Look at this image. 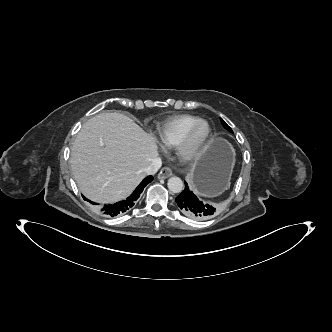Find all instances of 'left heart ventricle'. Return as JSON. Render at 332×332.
<instances>
[{"label": "left heart ventricle", "instance_id": "b2bd125f", "mask_svg": "<svg viewBox=\"0 0 332 332\" xmlns=\"http://www.w3.org/2000/svg\"><path fill=\"white\" fill-rule=\"evenodd\" d=\"M205 133L204 127H200L194 135V141H198Z\"/></svg>", "mask_w": 332, "mask_h": 332}]
</instances>
